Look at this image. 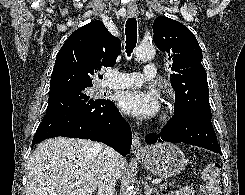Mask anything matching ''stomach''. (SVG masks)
I'll return each instance as SVG.
<instances>
[{"mask_svg": "<svg viewBox=\"0 0 245 195\" xmlns=\"http://www.w3.org/2000/svg\"><path fill=\"white\" fill-rule=\"evenodd\" d=\"M136 157L149 172L161 178L180 173L186 164L182 150L167 142L146 146L136 154Z\"/></svg>", "mask_w": 245, "mask_h": 195, "instance_id": "stomach-1", "label": "stomach"}]
</instances>
